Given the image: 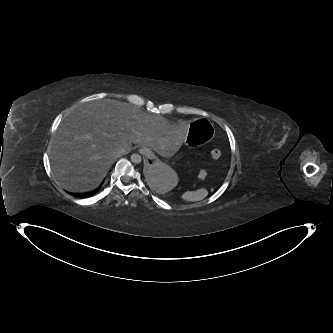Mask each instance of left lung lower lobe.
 I'll return each mask as SVG.
<instances>
[{"instance_id": "left-lung-lower-lobe-1", "label": "left lung lower lobe", "mask_w": 333, "mask_h": 333, "mask_svg": "<svg viewBox=\"0 0 333 333\" xmlns=\"http://www.w3.org/2000/svg\"><path fill=\"white\" fill-rule=\"evenodd\" d=\"M144 173L147 176V178L152 179L155 175V169L153 166L147 165V167L144 170Z\"/></svg>"}]
</instances>
